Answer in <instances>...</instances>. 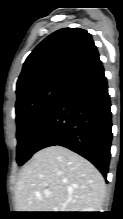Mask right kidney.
<instances>
[{
  "instance_id": "right-kidney-1",
  "label": "right kidney",
  "mask_w": 123,
  "mask_h": 219,
  "mask_svg": "<svg viewBox=\"0 0 123 219\" xmlns=\"http://www.w3.org/2000/svg\"><path fill=\"white\" fill-rule=\"evenodd\" d=\"M94 210L90 209V208H85L84 210H82V212H93Z\"/></svg>"
}]
</instances>
